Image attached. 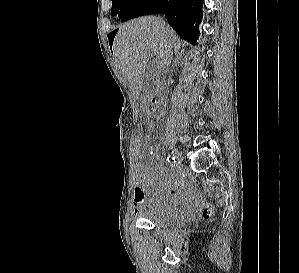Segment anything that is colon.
<instances>
[{
  "label": "colon",
  "instance_id": "5ec220e1",
  "mask_svg": "<svg viewBox=\"0 0 299 273\" xmlns=\"http://www.w3.org/2000/svg\"><path fill=\"white\" fill-rule=\"evenodd\" d=\"M150 143H151V141L149 139H147V138L143 139V144L145 147L149 146ZM213 215H214V208L211 205H207L202 211V216L205 219H210L213 217Z\"/></svg>",
  "mask_w": 299,
  "mask_h": 273
}]
</instances>
